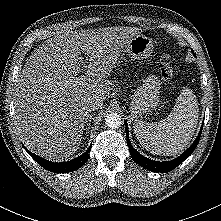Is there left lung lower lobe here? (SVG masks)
I'll use <instances>...</instances> for the list:
<instances>
[{
	"label": "left lung lower lobe",
	"mask_w": 221,
	"mask_h": 221,
	"mask_svg": "<svg viewBox=\"0 0 221 221\" xmlns=\"http://www.w3.org/2000/svg\"><path fill=\"white\" fill-rule=\"evenodd\" d=\"M124 124L126 126L125 130H126L127 144H128L132 159L143 168L153 171V172H169L175 169L179 164H181L187 157H189L193 153V151L195 150L200 140L201 133H202V129H201L197 138L193 142V144L186 151H184V153H182L179 157L171 161L160 162V161H153L151 159H148L142 156L131 146L126 121H124Z\"/></svg>",
	"instance_id": "1"
}]
</instances>
